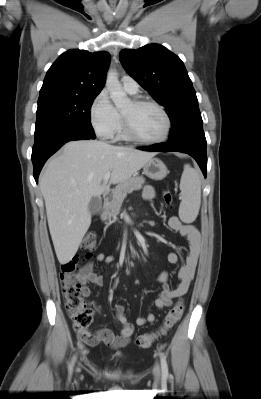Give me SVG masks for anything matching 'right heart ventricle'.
I'll use <instances>...</instances> for the list:
<instances>
[{
  "label": "right heart ventricle",
  "mask_w": 261,
  "mask_h": 399,
  "mask_svg": "<svg viewBox=\"0 0 261 399\" xmlns=\"http://www.w3.org/2000/svg\"><path fill=\"white\" fill-rule=\"evenodd\" d=\"M117 136H118L119 138H123V139H126V138H127V137L125 136V134H124V131H123V128H122V125H121V124H120V127H119V129H118Z\"/></svg>",
  "instance_id": "e07e8e85"
}]
</instances>
